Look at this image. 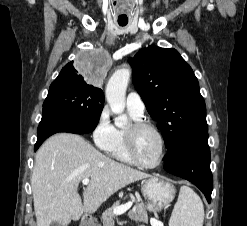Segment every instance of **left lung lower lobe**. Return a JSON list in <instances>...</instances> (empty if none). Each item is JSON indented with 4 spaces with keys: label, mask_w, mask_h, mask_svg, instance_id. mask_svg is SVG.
<instances>
[{
    "label": "left lung lower lobe",
    "mask_w": 247,
    "mask_h": 226,
    "mask_svg": "<svg viewBox=\"0 0 247 226\" xmlns=\"http://www.w3.org/2000/svg\"><path fill=\"white\" fill-rule=\"evenodd\" d=\"M164 169L195 184L210 203L213 177L208 132L193 135L168 151L164 157Z\"/></svg>",
    "instance_id": "1"
}]
</instances>
